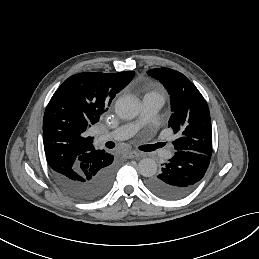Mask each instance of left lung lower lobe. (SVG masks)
<instances>
[{
    "instance_id": "1",
    "label": "left lung lower lobe",
    "mask_w": 259,
    "mask_h": 259,
    "mask_svg": "<svg viewBox=\"0 0 259 259\" xmlns=\"http://www.w3.org/2000/svg\"><path fill=\"white\" fill-rule=\"evenodd\" d=\"M211 156L177 150L162 168L161 174L147 180L148 189L166 200H178L190 194L204 177Z\"/></svg>"
}]
</instances>
